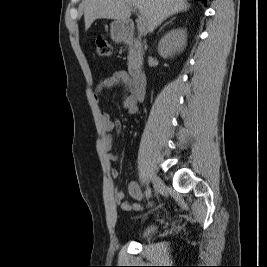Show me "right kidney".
Instances as JSON below:
<instances>
[{"mask_svg":"<svg viewBox=\"0 0 267 267\" xmlns=\"http://www.w3.org/2000/svg\"><path fill=\"white\" fill-rule=\"evenodd\" d=\"M186 41V29H172L161 38L158 44V53L163 58L172 57L184 49Z\"/></svg>","mask_w":267,"mask_h":267,"instance_id":"right-kidney-1","label":"right kidney"}]
</instances>
